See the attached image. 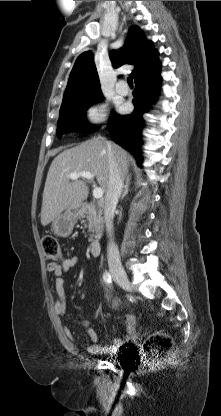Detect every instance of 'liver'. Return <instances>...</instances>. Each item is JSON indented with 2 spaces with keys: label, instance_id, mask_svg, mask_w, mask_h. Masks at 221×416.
<instances>
[{
  "label": "liver",
  "instance_id": "liver-1",
  "mask_svg": "<svg viewBox=\"0 0 221 416\" xmlns=\"http://www.w3.org/2000/svg\"><path fill=\"white\" fill-rule=\"evenodd\" d=\"M118 164L124 179L128 174L130 155L115 143L101 137H94L78 146L66 149L58 154L49 168L41 207V224L48 225L66 209L79 207L88 196L86 181L69 178L73 172L88 171L94 174L102 188L107 192L110 166L109 148ZM129 177V176H127Z\"/></svg>",
  "mask_w": 221,
  "mask_h": 416
}]
</instances>
